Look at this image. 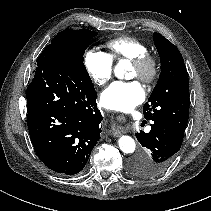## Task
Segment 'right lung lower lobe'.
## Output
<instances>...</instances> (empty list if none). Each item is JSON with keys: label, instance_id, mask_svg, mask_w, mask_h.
<instances>
[{"label": "right lung lower lobe", "instance_id": "98d812e1", "mask_svg": "<svg viewBox=\"0 0 211 211\" xmlns=\"http://www.w3.org/2000/svg\"><path fill=\"white\" fill-rule=\"evenodd\" d=\"M26 96L29 134L39 159L57 173H79L101 133L93 83L55 56L40 55Z\"/></svg>", "mask_w": 211, "mask_h": 211}]
</instances>
